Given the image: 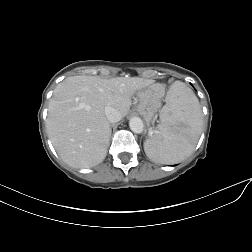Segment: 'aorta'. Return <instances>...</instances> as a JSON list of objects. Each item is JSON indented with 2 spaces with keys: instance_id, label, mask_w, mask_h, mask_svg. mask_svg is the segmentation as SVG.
<instances>
[{
  "instance_id": "1",
  "label": "aorta",
  "mask_w": 252,
  "mask_h": 252,
  "mask_svg": "<svg viewBox=\"0 0 252 252\" xmlns=\"http://www.w3.org/2000/svg\"><path fill=\"white\" fill-rule=\"evenodd\" d=\"M129 127L134 133H141L143 131L144 125L139 117H133L129 121Z\"/></svg>"
}]
</instances>
